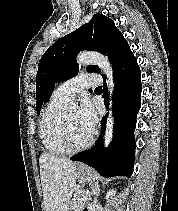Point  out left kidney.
Segmentation results:
<instances>
[{
    "label": "left kidney",
    "mask_w": 178,
    "mask_h": 211,
    "mask_svg": "<svg viewBox=\"0 0 178 211\" xmlns=\"http://www.w3.org/2000/svg\"><path fill=\"white\" fill-rule=\"evenodd\" d=\"M115 192L114 189L109 190L106 194V199L108 200L110 197L112 198V196L115 195Z\"/></svg>",
    "instance_id": "left-kidney-1"
}]
</instances>
